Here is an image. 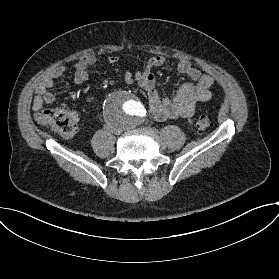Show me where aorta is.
<instances>
[{"instance_id":"obj_1","label":"aorta","mask_w":279,"mask_h":279,"mask_svg":"<svg viewBox=\"0 0 279 279\" xmlns=\"http://www.w3.org/2000/svg\"><path fill=\"white\" fill-rule=\"evenodd\" d=\"M104 112L110 124L118 129L135 126L145 114L141 102L127 91L112 94L106 102Z\"/></svg>"}]
</instances>
